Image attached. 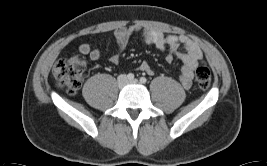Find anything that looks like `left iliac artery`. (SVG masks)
I'll use <instances>...</instances> for the list:
<instances>
[{
	"label": "left iliac artery",
	"instance_id": "1",
	"mask_svg": "<svg viewBox=\"0 0 267 166\" xmlns=\"http://www.w3.org/2000/svg\"><path fill=\"white\" fill-rule=\"evenodd\" d=\"M140 82L143 83V84H145L147 82V79L145 77H141L140 78Z\"/></svg>",
	"mask_w": 267,
	"mask_h": 166
}]
</instances>
